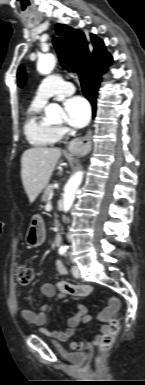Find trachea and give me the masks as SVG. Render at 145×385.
<instances>
[{"mask_svg": "<svg viewBox=\"0 0 145 385\" xmlns=\"http://www.w3.org/2000/svg\"><path fill=\"white\" fill-rule=\"evenodd\" d=\"M53 45L55 47V50L59 58V62L63 67V69L67 70L68 72L74 73L75 70L67 56V53L62 45L61 40L57 37L53 38Z\"/></svg>", "mask_w": 145, "mask_h": 385, "instance_id": "1", "label": "trachea"}]
</instances>
